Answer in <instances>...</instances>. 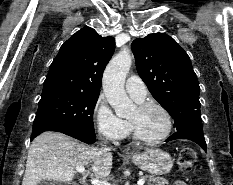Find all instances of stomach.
<instances>
[{
	"label": "stomach",
	"instance_id": "0dacf381",
	"mask_svg": "<svg viewBox=\"0 0 233 185\" xmlns=\"http://www.w3.org/2000/svg\"><path fill=\"white\" fill-rule=\"evenodd\" d=\"M139 168L151 174L163 175L173 166L171 155L161 149H147L144 152H134L128 155Z\"/></svg>",
	"mask_w": 233,
	"mask_h": 185
}]
</instances>
